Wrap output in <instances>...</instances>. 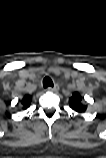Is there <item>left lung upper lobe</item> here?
I'll return each instance as SVG.
<instances>
[{"mask_svg":"<svg viewBox=\"0 0 106 158\" xmlns=\"http://www.w3.org/2000/svg\"><path fill=\"white\" fill-rule=\"evenodd\" d=\"M69 105L74 111L78 113H83L87 109V106L83 105L82 97L78 92H75L73 96L69 99Z\"/></svg>","mask_w":106,"mask_h":158,"instance_id":"1","label":"left lung upper lobe"}]
</instances>
